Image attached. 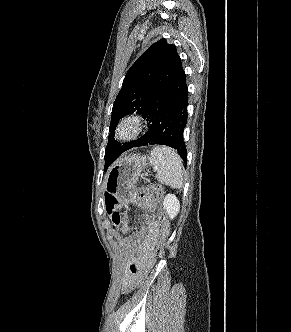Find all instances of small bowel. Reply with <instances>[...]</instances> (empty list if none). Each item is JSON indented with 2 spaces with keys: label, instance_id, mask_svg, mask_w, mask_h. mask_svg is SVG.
Segmentation results:
<instances>
[{
  "label": "small bowel",
  "instance_id": "obj_1",
  "mask_svg": "<svg viewBox=\"0 0 291 332\" xmlns=\"http://www.w3.org/2000/svg\"><path fill=\"white\" fill-rule=\"evenodd\" d=\"M160 229L161 225L157 221H151L140 226L126 239V245L132 250V253L129 259L125 285H128L132 279L133 268L141 266L150 257L159 240ZM121 231L123 233L130 231V227L126 222L122 224Z\"/></svg>",
  "mask_w": 291,
  "mask_h": 332
}]
</instances>
